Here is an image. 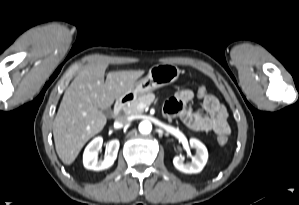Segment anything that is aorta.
<instances>
[{
	"label": "aorta",
	"instance_id": "obj_1",
	"mask_svg": "<svg viewBox=\"0 0 299 205\" xmlns=\"http://www.w3.org/2000/svg\"><path fill=\"white\" fill-rule=\"evenodd\" d=\"M152 130V124L149 121H142L139 124V131L142 134H149Z\"/></svg>",
	"mask_w": 299,
	"mask_h": 205
}]
</instances>
